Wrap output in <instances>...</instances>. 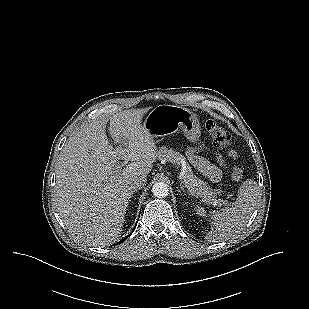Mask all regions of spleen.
Masks as SVG:
<instances>
[{"instance_id":"3e777b00","label":"spleen","mask_w":309,"mask_h":309,"mask_svg":"<svg viewBox=\"0 0 309 309\" xmlns=\"http://www.w3.org/2000/svg\"><path fill=\"white\" fill-rule=\"evenodd\" d=\"M259 187L252 179L243 182L238 191L236 201L232 207H225L218 211L207 214L204 208H195L199 216L209 217L211 230L207 233L206 239L212 242L228 240L231 236L239 233L251 217L257 198Z\"/></svg>"}]
</instances>
